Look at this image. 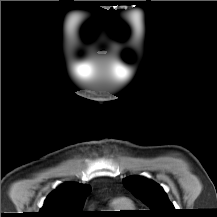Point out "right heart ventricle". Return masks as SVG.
I'll list each match as a JSON object with an SVG mask.
<instances>
[{
  "label": "right heart ventricle",
  "instance_id": "e07e8e85",
  "mask_svg": "<svg viewBox=\"0 0 217 217\" xmlns=\"http://www.w3.org/2000/svg\"><path fill=\"white\" fill-rule=\"evenodd\" d=\"M109 208L112 211L122 212V211H127V210L134 209V205L129 200H126V199H117V200L112 201L109 204Z\"/></svg>",
  "mask_w": 217,
  "mask_h": 217
}]
</instances>
